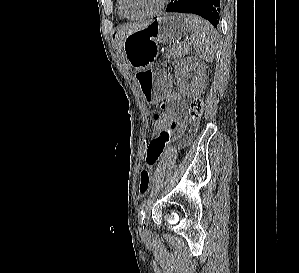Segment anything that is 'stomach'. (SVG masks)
Returning <instances> with one entry per match:
<instances>
[{
  "instance_id": "1",
  "label": "stomach",
  "mask_w": 299,
  "mask_h": 273,
  "mask_svg": "<svg viewBox=\"0 0 299 273\" xmlns=\"http://www.w3.org/2000/svg\"><path fill=\"white\" fill-rule=\"evenodd\" d=\"M188 31L184 15L166 14L125 38L123 50L127 64L136 69L135 77L144 101H168V96L162 95L169 90V75L166 71L155 70L154 61H157L160 43H173Z\"/></svg>"
}]
</instances>
